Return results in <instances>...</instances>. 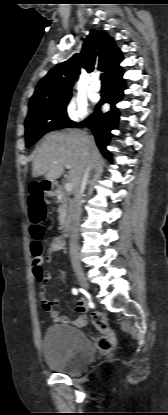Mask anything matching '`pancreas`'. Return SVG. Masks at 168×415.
<instances>
[{
    "label": "pancreas",
    "instance_id": "1",
    "mask_svg": "<svg viewBox=\"0 0 168 415\" xmlns=\"http://www.w3.org/2000/svg\"><path fill=\"white\" fill-rule=\"evenodd\" d=\"M58 202L60 203L58 208V219L60 222H64L66 219L69 218V214L71 211V200L65 196H61Z\"/></svg>",
    "mask_w": 168,
    "mask_h": 415
}]
</instances>
